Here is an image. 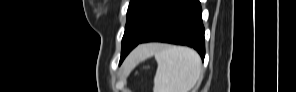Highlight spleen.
<instances>
[{"mask_svg": "<svg viewBox=\"0 0 296 92\" xmlns=\"http://www.w3.org/2000/svg\"><path fill=\"white\" fill-rule=\"evenodd\" d=\"M141 58L155 56L157 71L153 92H190L202 72L199 55L188 47L152 44L144 45ZM143 47V46H142Z\"/></svg>", "mask_w": 296, "mask_h": 92, "instance_id": "obj_1", "label": "spleen"}]
</instances>
